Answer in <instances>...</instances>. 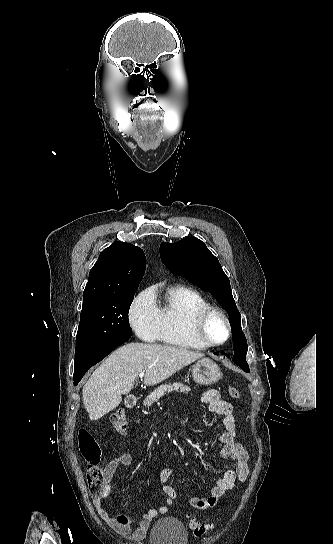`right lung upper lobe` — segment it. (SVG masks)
Instances as JSON below:
<instances>
[{
    "instance_id": "right-lung-upper-lobe-1",
    "label": "right lung upper lobe",
    "mask_w": 333,
    "mask_h": 544,
    "mask_svg": "<svg viewBox=\"0 0 333 544\" xmlns=\"http://www.w3.org/2000/svg\"><path fill=\"white\" fill-rule=\"evenodd\" d=\"M145 267L146 258L141 248L125 242H114L100 253L90 270L83 303L137 290Z\"/></svg>"
}]
</instances>
